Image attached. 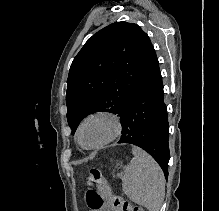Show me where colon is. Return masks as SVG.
<instances>
[{
  "instance_id": "1",
  "label": "colon",
  "mask_w": 219,
  "mask_h": 211,
  "mask_svg": "<svg viewBox=\"0 0 219 211\" xmlns=\"http://www.w3.org/2000/svg\"><path fill=\"white\" fill-rule=\"evenodd\" d=\"M87 183L91 186H97L100 197L110 205L113 211H142L123 197L113 194L110 183L98 169L93 168L88 171Z\"/></svg>"
}]
</instances>
